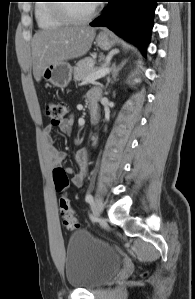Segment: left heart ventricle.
<instances>
[{
    "label": "left heart ventricle",
    "mask_w": 195,
    "mask_h": 299,
    "mask_svg": "<svg viewBox=\"0 0 195 299\" xmlns=\"http://www.w3.org/2000/svg\"><path fill=\"white\" fill-rule=\"evenodd\" d=\"M93 4L92 2L82 1L72 2L69 5V10L76 16H85L91 11Z\"/></svg>",
    "instance_id": "left-heart-ventricle-1"
}]
</instances>
